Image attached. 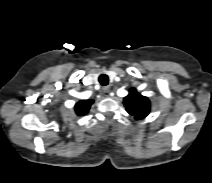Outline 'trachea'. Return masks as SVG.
I'll list each match as a JSON object with an SVG mask.
<instances>
[{"label":"trachea","mask_w":212,"mask_h":183,"mask_svg":"<svg viewBox=\"0 0 212 183\" xmlns=\"http://www.w3.org/2000/svg\"><path fill=\"white\" fill-rule=\"evenodd\" d=\"M99 83L103 86L108 85L109 83V78L106 74H102L99 76Z\"/></svg>","instance_id":"trachea-1"}]
</instances>
